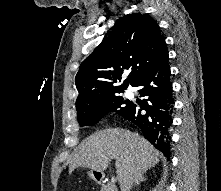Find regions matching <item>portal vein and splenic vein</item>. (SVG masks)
Listing matches in <instances>:
<instances>
[{"mask_svg":"<svg viewBox=\"0 0 221 191\" xmlns=\"http://www.w3.org/2000/svg\"><path fill=\"white\" fill-rule=\"evenodd\" d=\"M116 181V179H113L112 181H111V183H114Z\"/></svg>","mask_w":221,"mask_h":191,"instance_id":"18ae733b","label":"portal vein and splenic vein"}]
</instances>
